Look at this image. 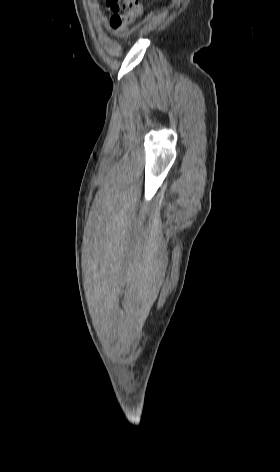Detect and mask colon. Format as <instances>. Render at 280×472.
<instances>
[{
	"instance_id": "colon-1",
	"label": "colon",
	"mask_w": 280,
	"mask_h": 472,
	"mask_svg": "<svg viewBox=\"0 0 280 472\" xmlns=\"http://www.w3.org/2000/svg\"><path fill=\"white\" fill-rule=\"evenodd\" d=\"M107 10L111 13V22L115 26H125L132 23L142 11L139 0H105Z\"/></svg>"
}]
</instances>
